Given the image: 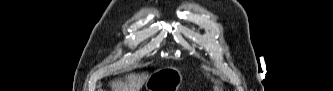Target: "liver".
<instances>
[{
  "label": "liver",
  "mask_w": 333,
  "mask_h": 91,
  "mask_svg": "<svg viewBox=\"0 0 333 91\" xmlns=\"http://www.w3.org/2000/svg\"><path fill=\"white\" fill-rule=\"evenodd\" d=\"M147 78V73L130 74L125 77V81L116 80L112 82V91H140Z\"/></svg>",
  "instance_id": "obj_1"
}]
</instances>
